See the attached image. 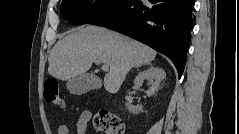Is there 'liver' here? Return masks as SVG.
<instances>
[{
	"label": "liver",
	"mask_w": 239,
	"mask_h": 134,
	"mask_svg": "<svg viewBox=\"0 0 239 134\" xmlns=\"http://www.w3.org/2000/svg\"><path fill=\"white\" fill-rule=\"evenodd\" d=\"M152 48L122 34L98 26H81L59 40L51 50L48 73L69 80L87 72L92 63L110 67L104 87L116 93L133 67L149 64L156 57Z\"/></svg>",
	"instance_id": "6515ba94"
}]
</instances>
